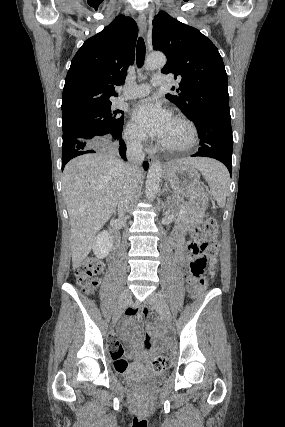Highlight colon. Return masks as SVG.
<instances>
[{
    "instance_id": "5ec220e1",
    "label": "colon",
    "mask_w": 285,
    "mask_h": 427,
    "mask_svg": "<svg viewBox=\"0 0 285 427\" xmlns=\"http://www.w3.org/2000/svg\"><path fill=\"white\" fill-rule=\"evenodd\" d=\"M218 234V223L213 217L208 218L202 228L195 230V241L186 247L188 266L184 271V276L188 281L190 291L197 294L200 287L205 282L204 276L208 271L214 273L215 267L211 264L208 267L207 255L214 258L217 255L216 238ZM103 271L101 262L94 258H85L75 264V274L78 285L83 293L89 294L98 284L99 277ZM132 309L127 311L131 314ZM148 368L152 370L167 369L171 361L166 356H157L146 361ZM127 365L126 361L119 364L121 369Z\"/></svg>"
}]
</instances>
